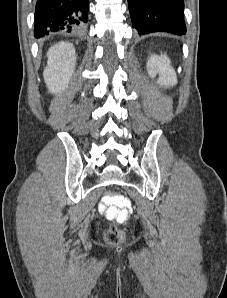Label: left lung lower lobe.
Wrapping results in <instances>:
<instances>
[{
  "label": "left lung lower lobe",
  "instance_id": "1",
  "mask_svg": "<svg viewBox=\"0 0 227 298\" xmlns=\"http://www.w3.org/2000/svg\"><path fill=\"white\" fill-rule=\"evenodd\" d=\"M133 28L139 34L169 32L185 35L183 0H128Z\"/></svg>",
  "mask_w": 227,
  "mask_h": 298
}]
</instances>
